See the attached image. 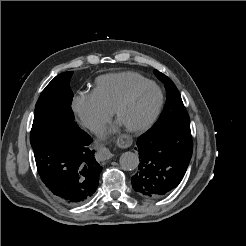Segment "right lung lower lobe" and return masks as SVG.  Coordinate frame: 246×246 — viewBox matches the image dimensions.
I'll return each instance as SVG.
<instances>
[{"label": "right lung lower lobe", "instance_id": "right-lung-lower-lobe-1", "mask_svg": "<svg viewBox=\"0 0 246 246\" xmlns=\"http://www.w3.org/2000/svg\"><path fill=\"white\" fill-rule=\"evenodd\" d=\"M90 142L91 137L72 122L50 130L31 144L42 181L63 203L86 202L98 187L102 167Z\"/></svg>", "mask_w": 246, "mask_h": 246}]
</instances>
